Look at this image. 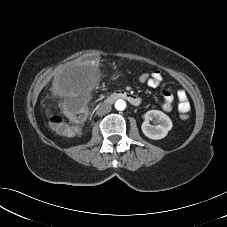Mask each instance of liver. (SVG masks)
Returning <instances> with one entry per match:
<instances>
[{
	"instance_id": "obj_1",
	"label": "liver",
	"mask_w": 227,
	"mask_h": 227,
	"mask_svg": "<svg viewBox=\"0 0 227 227\" xmlns=\"http://www.w3.org/2000/svg\"><path fill=\"white\" fill-rule=\"evenodd\" d=\"M92 70L95 68L87 63L71 62L66 64L53 79V95L68 96L74 93L80 81Z\"/></svg>"
}]
</instances>
